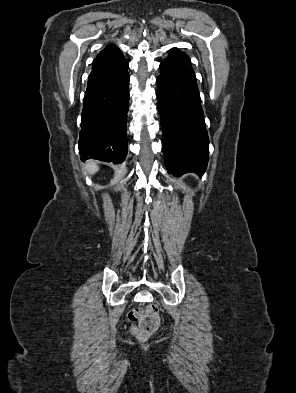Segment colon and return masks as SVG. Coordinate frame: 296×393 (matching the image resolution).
I'll use <instances>...</instances> for the list:
<instances>
[{
  "mask_svg": "<svg viewBox=\"0 0 296 393\" xmlns=\"http://www.w3.org/2000/svg\"><path fill=\"white\" fill-rule=\"evenodd\" d=\"M129 318L138 323L131 331L140 339L148 338L155 333L160 326L159 310L158 307L153 304L131 310Z\"/></svg>",
  "mask_w": 296,
  "mask_h": 393,
  "instance_id": "1",
  "label": "colon"
}]
</instances>
